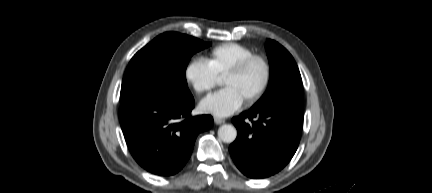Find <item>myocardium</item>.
I'll list each match as a JSON object with an SVG mask.
<instances>
[{"instance_id": "1", "label": "myocardium", "mask_w": 432, "mask_h": 193, "mask_svg": "<svg viewBox=\"0 0 432 193\" xmlns=\"http://www.w3.org/2000/svg\"><path fill=\"white\" fill-rule=\"evenodd\" d=\"M259 61L262 67V78L261 81L259 83V86L257 87L256 90H254L253 94L251 95L250 98V102H255L257 100H259L267 91L270 82H271V76H272V71H271V67H270V63L267 60L266 57L262 56V55H255L245 66H244V70L247 69L252 63Z\"/></svg>"}]
</instances>
